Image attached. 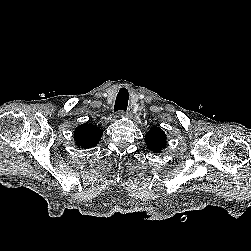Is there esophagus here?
I'll return each instance as SVG.
<instances>
[{
	"label": "esophagus",
	"instance_id": "34e87169",
	"mask_svg": "<svg viewBox=\"0 0 251 251\" xmlns=\"http://www.w3.org/2000/svg\"><path fill=\"white\" fill-rule=\"evenodd\" d=\"M120 114H125L126 116H131V114H132V107H128V109L126 110V112L121 111Z\"/></svg>",
	"mask_w": 251,
	"mask_h": 251
}]
</instances>
